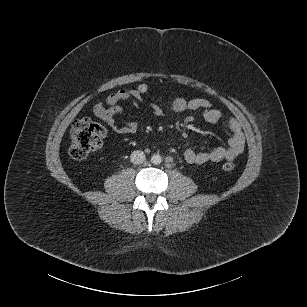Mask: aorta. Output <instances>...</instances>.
I'll return each mask as SVG.
<instances>
[{
  "label": "aorta",
  "mask_w": 307,
  "mask_h": 307,
  "mask_svg": "<svg viewBox=\"0 0 307 307\" xmlns=\"http://www.w3.org/2000/svg\"><path fill=\"white\" fill-rule=\"evenodd\" d=\"M150 161L153 165H158L162 162V156L159 154H155L151 157Z\"/></svg>",
  "instance_id": "aorta-1"
}]
</instances>
